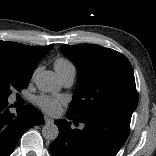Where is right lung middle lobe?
<instances>
[{"label":"right lung middle lobe","mask_w":156,"mask_h":156,"mask_svg":"<svg viewBox=\"0 0 156 156\" xmlns=\"http://www.w3.org/2000/svg\"><path fill=\"white\" fill-rule=\"evenodd\" d=\"M31 76L23 75L10 66L0 63V97L7 98L11 91H20L29 84Z\"/></svg>","instance_id":"obj_1"}]
</instances>
